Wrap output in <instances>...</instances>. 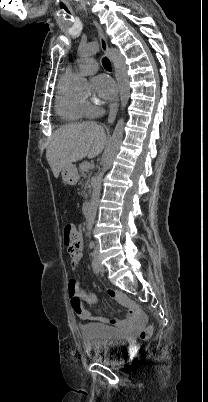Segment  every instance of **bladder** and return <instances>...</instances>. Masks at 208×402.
<instances>
[{"mask_svg":"<svg viewBox=\"0 0 208 402\" xmlns=\"http://www.w3.org/2000/svg\"><path fill=\"white\" fill-rule=\"evenodd\" d=\"M83 344L91 359L100 363H115L114 356L122 352L125 341L111 325L93 323L81 328Z\"/></svg>","mask_w":208,"mask_h":402,"instance_id":"bladder-1","label":"bladder"}]
</instances>
